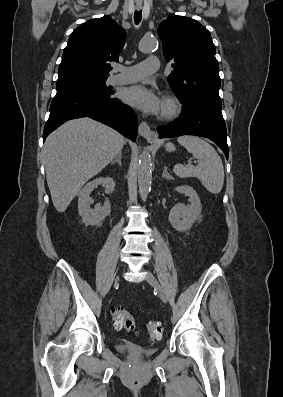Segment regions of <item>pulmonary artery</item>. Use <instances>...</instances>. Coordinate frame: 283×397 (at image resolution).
<instances>
[{
	"label": "pulmonary artery",
	"mask_w": 283,
	"mask_h": 397,
	"mask_svg": "<svg viewBox=\"0 0 283 397\" xmlns=\"http://www.w3.org/2000/svg\"><path fill=\"white\" fill-rule=\"evenodd\" d=\"M159 59L155 56L148 57L146 60L133 66H117L119 72L108 79L112 85L128 84L141 80L145 76L156 73L159 70Z\"/></svg>",
	"instance_id": "e3ab8cb5"
}]
</instances>
